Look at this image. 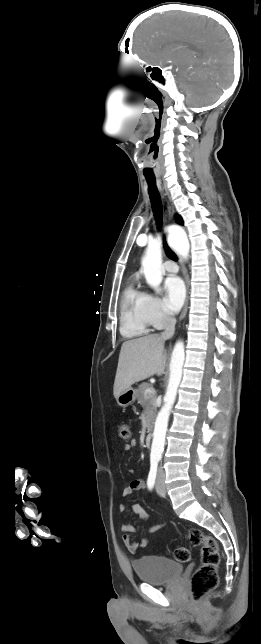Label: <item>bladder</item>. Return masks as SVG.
Wrapping results in <instances>:
<instances>
[{
  "label": "bladder",
  "instance_id": "bladder-1",
  "mask_svg": "<svg viewBox=\"0 0 261 644\" xmlns=\"http://www.w3.org/2000/svg\"><path fill=\"white\" fill-rule=\"evenodd\" d=\"M133 568L139 580L152 585L170 583L177 579L183 571V566L180 563L157 555H147L136 559L133 562Z\"/></svg>",
  "mask_w": 261,
  "mask_h": 644
}]
</instances>
